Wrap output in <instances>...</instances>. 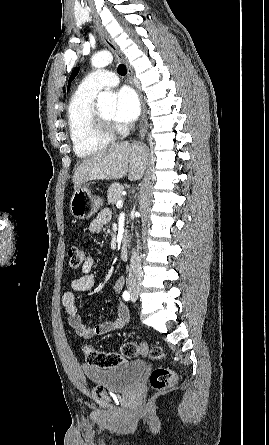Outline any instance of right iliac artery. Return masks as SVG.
Instances as JSON below:
<instances>
[{
    "mask_svg": "<svg viewBox=\"0 0 269 445\" xmlns=\"http://www.w3.org/2000/svg\"><path fill=\"white\" fill-rule=\"evenodd\" d=\"M122 297L125 301H129L130 300V293L128 291H124L122 294Z\"/></svg>",
    "mask_w": 269,
    "mask_h": 445,
    "instance_id": "1",
    "label": "right iliac artery"
}]
</instances>
